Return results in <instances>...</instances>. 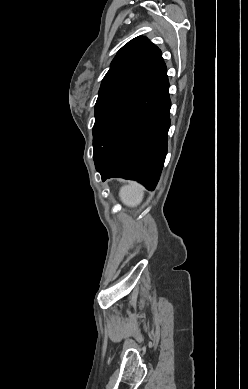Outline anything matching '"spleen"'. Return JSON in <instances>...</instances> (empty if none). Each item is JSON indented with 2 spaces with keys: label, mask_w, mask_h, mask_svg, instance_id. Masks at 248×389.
<instances>
[{
  "label": "spleen",
  "mask_w": 248,
  "mask_h": 389,
  "mask_svg": "<svg viewBox=\"0 0 248 389\" xmlns=\"http://www.w3.org/2000/svg\"><path fill=\"white\" fill-rule=\"evenodd\" d=\"M121 201L129 207H137L144 198V188L135 182H129L119 191Z\"/></svg>",
  "instance_id": "obj_1"
}]
</instances>
